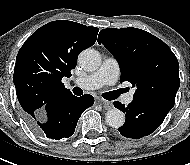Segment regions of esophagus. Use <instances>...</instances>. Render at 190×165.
Returning a JSON list of instances; mask_svg holds the SVG:
<instances>
[{
	"instance_id": "1",
	"label": "esophagus",
	"mask_w": 190,
	"mask_h": 165,
	"mask_svg": "<svg viewBox=\"0 0 190 165\" xmlns=\"http://www.w3.org/2000/svg\"><path fill=\"white\" fill-rule=\"evenodd\" d=\"M99 103L102 104L106 110H109L113 107V104L110 101L99 100Z\"/></svg>"
}]
</instances>
